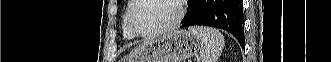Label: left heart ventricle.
Returning a JSON list of instances; mask_svg holds the SVG:
<instances>
[{
	"label": "left heart ventricle",
	"mask_w": 331,
	"mask_h": 62,
	"mask_svg": "<svg viewBox=\"0 0 331 62\" xmlns=\"http://www.w3.org/2000/svg\"><path fill=\"white\" fill-rule=\"evenodd\" d=\"M178 14L174 0H143L135 12L136 25L144 31L171 23Z\"/></svg>",
	"instance_id": "1"
}]
</instances>
